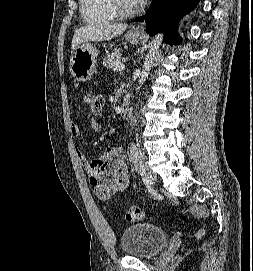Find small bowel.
<instances>
[{
    "instance_id": "1",
    "label": "small bowel",
    "mask_w": 253,
    "mask_h": 271,
    "mask_svg": "<svg viewBox=\"0 0 253 271\" xmlns=\"http://www.w3.org/2000/svg\"><path fill=\"white\" fill-rule=\"evenodd\" d=\"M101 129V122L95 118L91 119L89 123L90 134H97ZM69 133L73 139H76L79 135L77 125L71 124ZM121 151V147H105L100 155L89 160L82 150L79 148L75 150L87 172L89 183L100 200H108L114 194L123 192L128 187V168Z\"/></svg>"
}]
</instances>
